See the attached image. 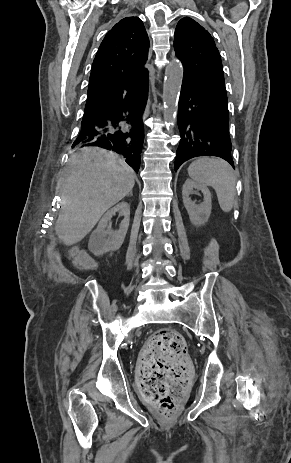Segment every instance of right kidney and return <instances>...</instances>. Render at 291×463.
<instances>
[{
    "mask_svg": "<svg viewBox=\"0 0 291 463\" xmlns=\"http://www.w3.org/2000/svg\"><path fill=\"white\" fill-rule=\"evenodd\" d=\"M116 212L124 216L118 230L113 231L110 220ZM130 221V206L121 202L108 210L99 221L97 228L92 232L89 240V249L95 255H102L108 251L118 250L124 242Z\"/></svg>",
    "mask_w": 291,
    "mask_h": 463,
    "instance_id": "right-kidney-1",
    "label": "right kidney"
}]
</instances>
